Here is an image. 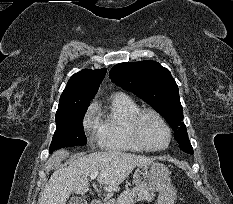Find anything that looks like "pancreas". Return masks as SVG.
<instances>
[{
    "mask_svg": "<svg viewBox=\"0 0 233 204\" xmlns=\"http://www.w3.org/2000/svg\"><path fill=\"white\" fill-rule=\"evenodd\" d=\"M155 197V194L151 191L143 188L126 189L123 193L118 196L116 201L108 204H134V201H148L151 202Z\"/></svg>",
    "mask_w": 233,
    "mask_h": 204,
    "instance_id": "pancreas-1",
    "label": "pancreas"
}]
</instances>
